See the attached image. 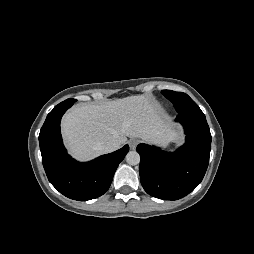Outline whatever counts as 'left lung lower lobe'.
Instances as JSON below:
<instances>
[{
    "mask_svg": "<svg viewBox=\"0 0 254 254\" xmlns=\"http://www.w3.org/2000/svg\"><path fill=\"white\" fill-rule=\"evenodd\" d=\"M186 134V142L173 153L147 144H139V173L145 191L165 200L180 199L202 181L209 163L211 134L205 115L178 114Z\"/></svg>",
    "mask_w": 254,
    "mask_h": 254,
    "instance_id": "obj_1",
    "label": "left lung lower lobe"
}]
</instances>
